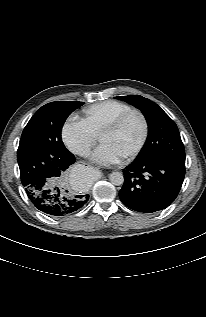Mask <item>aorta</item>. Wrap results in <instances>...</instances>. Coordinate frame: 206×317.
Masks as SVG:
<instances>
[{
    "label": "aorta",
    "mask_w": 206,
    "mask_h": 317,
    "mask_svg": "<svg viewBox=\"0 0 206 317\" xmlns=\"http://www.w3.org/2000/svg\"><path fill=\"white\" fill-rule=\"evenodd\" d=\"M109 180L113 185L119 186L124 183V175L121 172H112L109 175Z\"/></svg>",
    "instance_id": "762f6f07"
}]
</instances>
